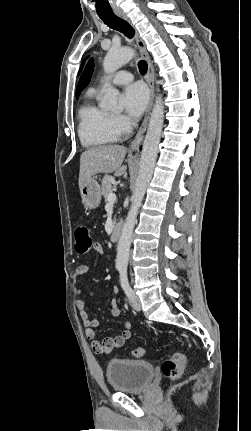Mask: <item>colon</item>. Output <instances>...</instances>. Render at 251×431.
Segmentation results:
<instances>
[{
	"mask_svg": "<svg viewBox=\"0 0 251 431\" xmlns=\"http://www.w3.org/2000/svg\"><path fill=\"white\" fill-rule=\"evenodd\" d=\"M95 244L93 242L90 229L84 225L79 224L75 229V249L79 254H87ZM134 357H142L144 349L138 347L132 350ZM187 364V355L184 353H175L170 358L162 363L161 370L164 377L169 381H177L181 379Z\"/></svg>",
	"mask_w": 251,
	"mask_h": 431,
	"instance_id": "colon-1",
	"label": "colon"
}]
</instances>
